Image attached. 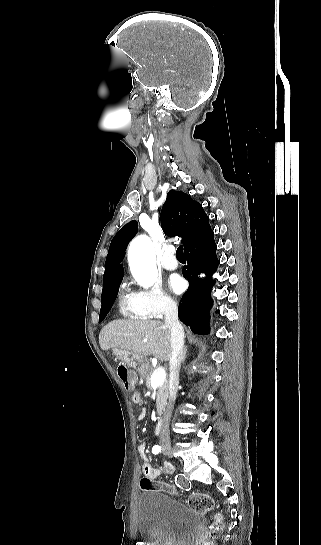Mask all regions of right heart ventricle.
Returning <instances> with one entry per match:
<instances>
[{
  "label": "right heart ventricle",
  "instance_id": "1",
  "mask_svg": "<svg viewBox=\"0 0 321 545\" xmlns=\"http://www.w3.org/2000/svg\"><path fill=\"white\" fill-rule=\"evenodd\" d=\"M118 307H119L120 314L125 318L131 319V320L144 319L136 311L130 296L121 295L119 298Z\"/></svg>",
  "mask_w": 321,
  "mask_h": 545
}]
</instances>
